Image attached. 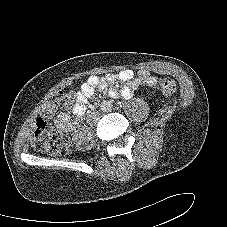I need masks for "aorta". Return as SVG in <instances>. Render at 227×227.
I'll list each match as a JSON object with an SVG mask.
<instances>
[{"mask_svg":"<svg viewBox=\"0 0 227 227\" xmlns=\"http://www.w3.org/2000/svg\"><path fill=\"white\" fill-rule=\"evenodd\" d=\"M109 102V101H108ZM112 107V106H111ZM110 109V106L109 105H106L105 107H104V109L102 110L103 112H108V110Z\"/></svg>","mask_w":227,"mask_h":227,"instance_id":"762f6f07","label":"aorta"}]
</instances>
